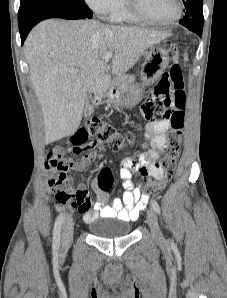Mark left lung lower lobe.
I'll return each mask as SVG.
<instances>
[{
    "mask_svg": "<svg viewBox=\"0 0 227 298\" xmlns=\"http://www.w3.org/2000/svg\"><path fill=\"white\" fill-rule=\"evenodd\" d=\"M193 32H196L199 36L202 35V31L201 30H198V31H193Z\"/></svg>",
    "mask_w": 227,
    "mask_h": 298,
    "instance_id": "1",
    "label": "left lung lower lobe"
}]
</instances>
